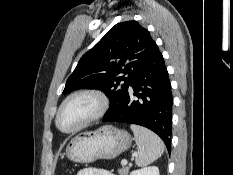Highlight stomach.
<instances>
[{
    "label": "stomach",
    "instance_id": "stomach-1",
    "mask_svg": "<svg viewBox=\"0 0 233 175\" xmlns=\"http://www.w3.org/2000/svg\"><path fill=\"white\" fill-rule=\"evenodd\" d=\"M131 141V136L125 130L106 125L71 139L66 146L65 155L76 163L114 159L130 147Z\"/></svg>",
    "mask_w": 233,
    "mask_h": 175
}]
</instances>
